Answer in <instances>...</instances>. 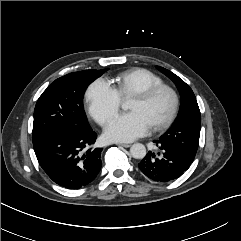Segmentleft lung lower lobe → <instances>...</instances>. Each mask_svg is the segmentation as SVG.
Segmentation results:
<instances>
[{
	"label": "left lung lower lobe",
	"instance_id": "obj_1",
	"mask_svg": "<svg viewBox=\"0 0 241 241\" xmlns=\"http://www.w3.org/2000/svg\"><path fill=\"white\" fill-rule=\"evenodd\" d=\"M157 153L149 151L139 163V169L149 179L168 182L179 178L190 167L193 160L173 145L154 141Z\"/></svg>",
	"mask_w": 241,
	"mask_h": 241
}]
</instances>
